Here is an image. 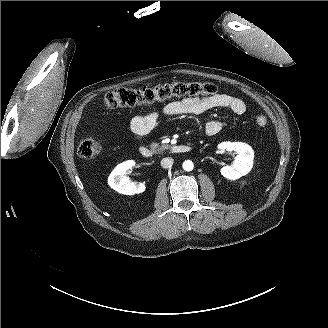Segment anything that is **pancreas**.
<instances>
[{"mask_svg": "<svg viewBox=\"0 0 328 328\" xmlns=\"http://www.w3.org/2000/svg\"><path fill=\"white\" fill-rule=\"evenodd\" d=\"M150 147L152 150H157L158 152H162L164 150H168V149H171L172 146L171 145H160L159 142H153L150 144Z\"/></svg>", "mask_w": 328, "mask_h": 328, "instance_id": "pancreas-1", "label": "pancreas"}]
</instances>
